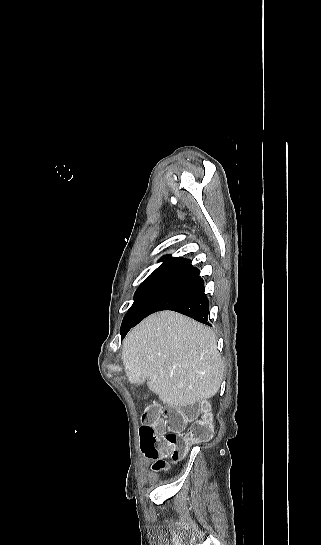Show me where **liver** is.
Listing matches in <instances>:
<instances>
[{"instance_id":"obj_1","label":"liver","mask_w":321,"mask_h":545,"mask_svg":"<svg viewBox=\"0 0 321 545\" xmlns=\"http://www.w3.org/2000/svg\"><path fill=\"white\" fill-rule=\"evenodd\" d=\"M126 377L158 395L169 407H194L220 389L224 365L212 329L161 311L134 327L121 353Z\"/></svg>"}]
</instances>
